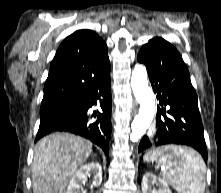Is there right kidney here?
<instances>
[{"label": "right kidney", "instance_id": "ca27d5eb", "mask_svg": "<svg viewBox=\"0 0 221 193\" xmlns=\"http://www.w3.org/2000/svg\"><path fill=\"white\" fill-rule=\"evenodd\" d=\"M94 174V186H100L102 182V167L97 162L83 165L72 176L66 193H82V185L86 183L87 177Z\"/></svg>", "mask_w": 221, "mask_h": 193}]
</instances>
